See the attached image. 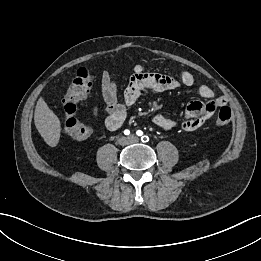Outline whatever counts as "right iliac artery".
Here are the masks:
<instances>
[{"instance_id": "1", "label": "right iliac artery", "mask_w": 261, "mask_h": 261, "mask_svg": "<svg viewBox=\"0 0 261 261\" xmlns=\"http://www.w3.org/2000/svg\"><path fill=\"white\" fill-rule=\"evenodd\" d=\"M124 134H125V135H129V134H130V131H129V130H125V131H124Z\"/></svg>"}]
</instances>
